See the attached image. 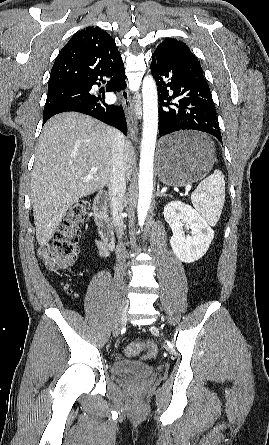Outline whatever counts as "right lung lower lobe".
<instances>
[{
	"mask_svg": "<svg viewBox=\"0 0 269 445\" xmlns=\"http://www.w3.org/2000/svg\"><path fill=\"white\" fill-rule=\"evenodd\" d=\"M108 78L106 91L120 92L126 87L124 64L121 60L111 66L95 73L84 83L87 89L70 101L57 106L50 114L43 117V124L52 116L68 111L80 112L99 119L109 125L115 126L124 134L127 132V124L122 106L108 105L104 101L103 95H93L90 93L92 85H100L97 81ZM104 82V81H102Z\"/></svg>",
	"mask_w": 269,
	"mask_h": 445,
	"instance_id": "1",
	"label": "right lung lower lobe"
}]
</instances>
